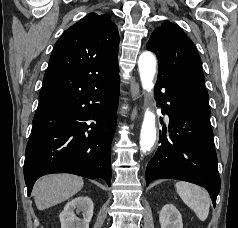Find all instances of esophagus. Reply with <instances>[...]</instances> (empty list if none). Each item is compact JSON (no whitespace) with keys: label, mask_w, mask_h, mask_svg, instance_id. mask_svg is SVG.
Returning <instances> with one entry per match:
<instances>
[{"label":"esophagus","mask_w":238,"mask_h":228,"mask_svg":"<svg viewBox=\"0 0 238 228\" xmlns=\"http://www.w3.org/2000/svg\"><path fill=\"white\" fill-rule=\"evenodd\" d=\"M130 92L132 94V97L135 99H138L140 97V87L138 83H135L130 87ZM137 117V109L134 108L131 114V120H135Z\"/></svg>","instance_id":"obj_1"}]
</instances>
